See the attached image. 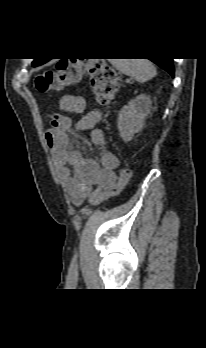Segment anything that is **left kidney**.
<instances>
[{"mask_svg":"<svg viewBox=\"0 0 206 348\" xmlns=\"http://www.w3.org/2000/svg\"><path fill=\"white\" fill-rule=\"evenodd\" d=\"M152 101L150 96L140 94L128 102L119 112L118 129L120 137L128 142L134 134L142 130L145 118L151 111Z\"/></svg>","mask_w":206,"mask_h":348,"instance_id":"obj_1","label":"left kidney"}]
</instances>
